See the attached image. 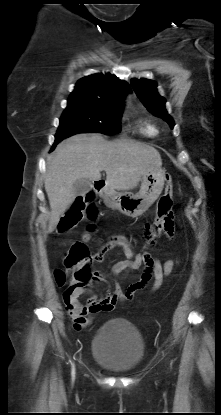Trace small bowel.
<instances>
[{
    "label": "small bowel",
    "mask_w": 221,
    "mask_h": 415,
    "mask_svg": "<svg viewBox=\"0 0 221 415\" xmlns=\"http://www.w3.org/2000/svg\"><path fill=\"white\" fill-rule=\"evenodd\" d=\"M151 225L152 223H146L144 225L145 238L149 237ZM161 232H163L166 237L171 239L175 234L173 220L169 226L164 228ZM156 238L157 237L150 239L148 244L154 245ZM116 248L123 252L126 259L118 261L111 268V276L114 279V287L109 295L104 298H98L95 294H93L91 289L77 284H70L63 293L67 313L76 329H81L90 325L95 315L99 312L112 311L118 302L133 300L135 294L144 289L152 279V291H156L161 287L164 278L171 273L176 264V262L172 260L161 263L147 251H136L131 240L122 234L111 236L98 248V251L94 256L96 259H101L104 253ZM139 264L143 265V270L139 280L130 284L126 290L123 291L116 281V277L125 269H139ZM86 293L91 294V297L87 300L86 304L83 305L79 302V297Z\"/></svg>",
    "instance_id": "obj_1"
}]
</instances>
